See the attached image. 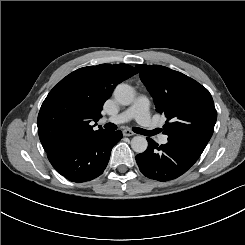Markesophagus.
<instances>
[{
  "label": "esophagus",
  "instance_id": "esophagus-1",
  "mask_svg": "<svg viewBox=\"0 0 245 245\" xmlns=\"http://www.w3.org/2000/svg\"><path fill=\"white\" fill-rule=\"evenodd\" d=\"M122 133H123V136H134V135H135V133L132 132V131L129 130V129L123 130Z\"/></svg>",
  "mask_w": 245,
  "mask_h": 245
}]
</instances>
